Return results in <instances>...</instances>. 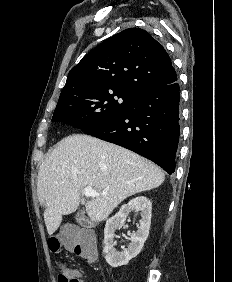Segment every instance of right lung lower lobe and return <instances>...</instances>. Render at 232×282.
<instances>
[{"instance_id": "1", "label": "right lung lower lobe", "mask_w": 232, "mask_h": 282, "mask_svg": "<svg viewBox=\"0 0 232 282\" xmlns=\"http://www.w3.org/2000/svg\"><path fill=\"white\" fill-rule=\"evenodd\" d=\"M179 102L175 80L147 89L131 110L84 132L134 151L172 174L180 135Z\"/></svg>"}]
</instances>
